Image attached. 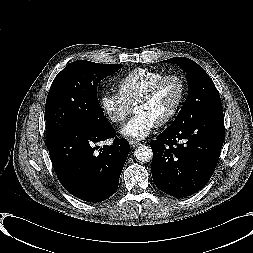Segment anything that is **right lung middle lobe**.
I'll return each instance as SVG.
<instances>
[{"instance_id":"1","label":"right lung middle lobe","mask_w":253,"mask_h":253,"mask_svg":"<svg viewBox=\"0 0 253 253\" xmlns=\"http://www.w3.org/2000/svg\"><path fill=\"white\" fill-rule=\"evenodd\" d=\"M122 66L78 60L55 77L46 100L47 145L75 126L109 122L98 103L97 85Z\"/></svg>"}]
</instances>
